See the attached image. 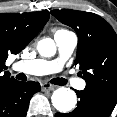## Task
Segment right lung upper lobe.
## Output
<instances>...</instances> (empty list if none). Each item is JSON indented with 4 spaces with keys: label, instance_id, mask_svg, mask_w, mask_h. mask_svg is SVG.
<instances>
[{
    "label": "right lung upper lobe",
    "instance_id": "right-lung-upper-lobe-1",
    "mask_svg": "<svg viewBox=\"0 0 117 117\" xmlns=\"http://www.w3.org/2000/svg\"><path fill=\"white\" fill-rule=\"evenodd\" d=\"M48 11L0 14V73L7 69L5 62L9 54H18L49 19ZM9 72L0 74V87L14 81Z\"/></svg>",
    "mask_w": 117,
    "mask_h": 117
}]
</instances>
